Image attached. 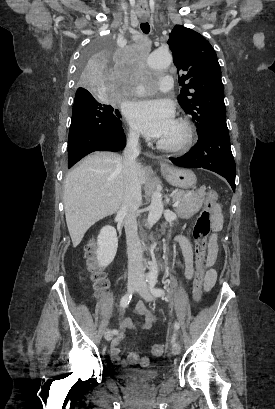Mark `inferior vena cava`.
I'll return each instance as SVG.
<instances>
[{
    "mask_svg": "<svg viewBox=\"0 0 275 409\" xmlns=\"http://www.w3.org/2000/svg\"><path fill=\"white\" fill-rule=\"evenodd\" d=\"M138 140V132L130 130L123 156L124 194L120 213H124L125 217L129 281H145L142 249L136 221L142 200L138 166L135 160L140 152Z\"/></svg>",
    "mask_w": 275,
    "mask_h": 409,
    "instance_id": "1",
    "label": "inferior vena cava"
}]
</instances>
